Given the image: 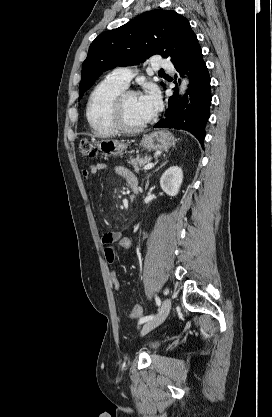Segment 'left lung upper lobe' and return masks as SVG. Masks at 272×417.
I'll return each instance as SVG.
<instances>
[{
    "label": "left lung upper lobe",
    "mask_w": 272,
    "mask_h": 417,
    "mask_svg": "<svg viewBox=\"0 0 272 417\" xmlns=\"http://www.w3.org/2000/svg\"><path fill=\"white\" fill-rule=\"evenodd\" d=\"M197 47V37L186 18L172 10L145 12L92 42L82 67L79 98L106 70L139 64L155 54L170 57L175 64Z\"/></svg>",
    "instance_id": "5c2ea615"
}]
</instances>
